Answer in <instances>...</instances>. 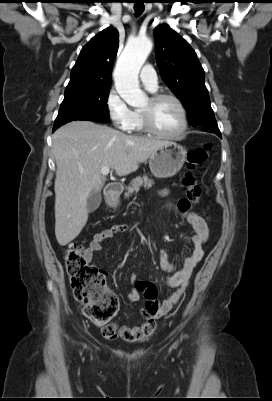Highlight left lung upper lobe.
Listing matches in <instances>:
<instances>
[{
	"instance_id": "obj_1",
	"label": "left lung upper lobe",
	"mask_w": 272,
	"mask_h": 401,
	"mask_svg": "<svg viewBox=\"0 0 272 401\" xmlns=\"http://www.w3.org/2000/svg\"><path fill=\"white\" fill-rule=\"evenodd\" d=\"M155 56L162 80L184 105L192 126L216 123L205 86V73L191 46L169 26L154 31Z\"/></svg>"
}]
</instances>
